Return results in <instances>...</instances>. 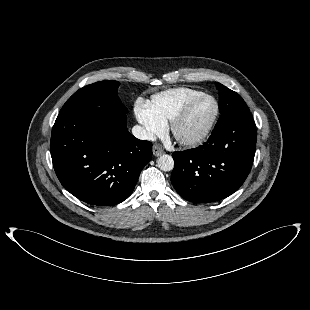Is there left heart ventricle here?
Wrapping results in <instances>:
<instances>
[{
  "label": "left heart ventricle",
  "instance_id": "1",
  "mask_svg": "<svg viewBox=\"0 0 310 310\" xmlns=\"http://www.w3.org/2000/svg\"><path fill=\"white\" fill-rule=\"evenodd\" d=\"M214 112V103L210 99L198 101L190 110L185 120L178 127L181 137L189 138L200 133Z\"/></svg>",
  "mask_w": 310,
  "mask_h": 310
}]
</instances>
